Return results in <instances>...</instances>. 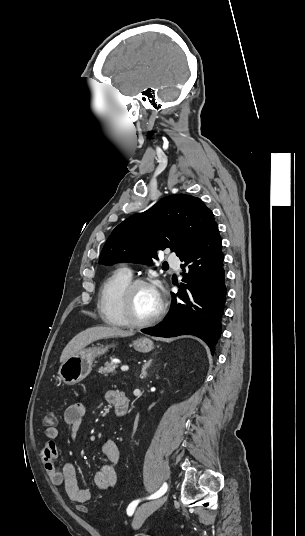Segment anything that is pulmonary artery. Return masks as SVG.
Masks as SVG:
<instances>
[{
    "instance_id": "obj_1",
    "label": "pulmonary artery",
    "mask_w": 305,
    "mask_h": 536,
    "mask_svg": "<svg viewBox=\"0 0 305 536\" xmlns=\"http://www.w3.org/2000/svg\"><path fill=\"white\" fill-rule=\"evenodd\" d=\"M169 261H170L171 265L174 267V269H176V270L179 269L180 263L178 261V256L176 254H171L169 256ZM121 270L124 273L128 274L129 276H132V274H133L132 270L130 268H128V267H122Z\"/></svg>"
}]
</instances>
